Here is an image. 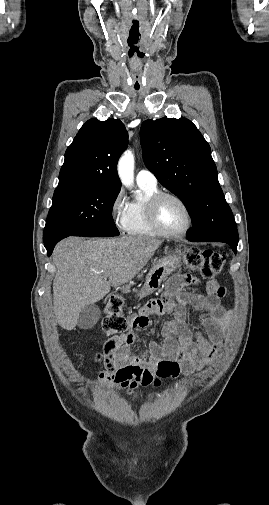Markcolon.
<instances>
[{
    "label": "colon",
    "mask_w": 269,
    "mask_h": 505,
    "mask_svg": "<svg viewBox=\"0 0 269 505\" xmlns=\"http://www.w3.org/2000/svg\"><path fill=\"white\" fill-rule=\"evenodd\" d=\"M182 252L186 257L187 265L193 270L197 269L203 281L221 280V271L225 263V257L222 253L210 249L200 250L196 247H184L182 248ZM166 297L171 298L168 295ZM102 329L106 335L112 337L111 339L127 333L129 323L124 316V298L121 293L112 294L107 298L104 307ZM153 382L158 385L160 383V376L155 375Z\"/></svg>",
    "instance_id": "1"
}]
</instances>
